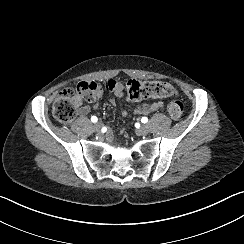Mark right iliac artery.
<instances>
[{"label":"right iliac artery","mask_w":244,"mask_h":244,"mask_svg":"<svg viewBox=\"0 0 244 244\" xmlns=\"http://www.w3.org/2000/svg\"><path fill=\"white\" fill-rule=\"evenodd\" d=\"M97 120H98V119H97L96 116H92V117H91V121H92L93 123L97 122Z\"/></svg>","instance_id":"obj_1"}]
</instances>
